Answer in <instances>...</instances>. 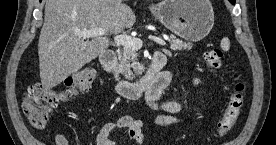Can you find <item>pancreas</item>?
Segmentation results:
<instances>
[{
  "label": "pancreas",
  "mask_w": 276,
  "mask_h": 145,
  "mask_svg": "<svg viewBox=\"0 0 276 145\" xmlns=\"http://www.w3.org/2000/svg\"><path fill=\"white\" fill-rule=\"evenodd\" d=\"M170 49L175 51L190 50L191 43H186L180 39L170 36ZM119 65L118 70L122 73L126 79L133 80V78L141 75L143 66L138 63V53L136 49L124 47V49L118 54Z\"/></svg>",
  "instance_id": "pancreas-1"
}]
</instances>
